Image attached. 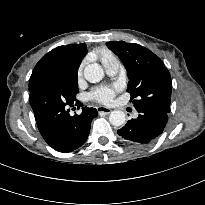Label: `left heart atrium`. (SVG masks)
Returning <instances> with one entry per match:
<instances>
[{
    "mask_svg": "<svg viewBox=\"0 0 205 205\" xmlns=\"http://www.w3.org/2000/svg\"><path fill=\"white\" fill-rule=\"evenodd\" d=\"M117 92L115 87H97L90 93V98L102 104H110Z\"/></svg>",
    "mask_w": 205,
    "mask_h": 205,
    "instance_id": "39dd6f15",
    "label": "left heart atrium"
}]
</instances>
